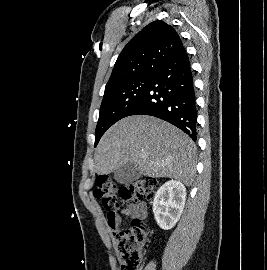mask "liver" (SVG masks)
Segmentation results:
<instances>
[{"label": "liver", "instance_id": "1", "mask_svg": "<svg viewBox=\"0 0 267 270\" xmlns=\"http://www.w3.org/2000/svg\"><path fill=\"white\" fill-rule=\"evenodd\" d=\"M195 154L194 142L173 125L152 116H129L101 138L94 155L95 172L107 175L135 163L144 176L173 178L190 186Z\"/></svg>", "mask_w": 267, "mask_h": 270}]
</instances>
